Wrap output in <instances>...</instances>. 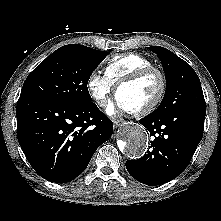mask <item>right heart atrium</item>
I'll return each instance as SVG.
<instances>
[{"mask_svg":"<svg viewBox=\"0 0 221 221\" xmlns=\"http://www.w3.org/2000/svg\"><path fill=\"white\" fill-rule=\"evenodd\" d=\"M87 90L99 107H105L108 103L109 96L113 91L114 85L98 71H93L86 82Z\"/></svg>","mask_w":221,"mask_h":221,"instance_id":"obj_1","label":"right heart atrium"}]
</instances>
